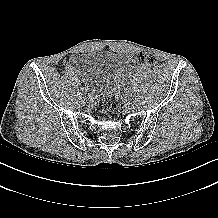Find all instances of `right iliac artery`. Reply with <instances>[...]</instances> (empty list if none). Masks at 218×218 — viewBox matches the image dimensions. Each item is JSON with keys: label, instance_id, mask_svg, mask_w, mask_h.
Returning a JSON list of instances; mask_svg holds the SVG:
<instances>
[{"label": "right iliac artery", "instance_id": "right-iliac-artery-1", "mask_svg": "<svg viewBox=\"0 0 218 218\" xmlns=\"http://www.w3.org/2000/svg\"><path fill=\"white\" fill-rule=\"evenodd\" d=\"M80 88H81V89H83V88H84V89L87 91V88H86V87H84L83 85H82Z\"/></svg>", "mask_w": 218, "mask_h": 218}]
</instances>
